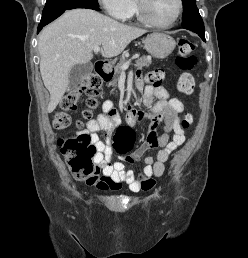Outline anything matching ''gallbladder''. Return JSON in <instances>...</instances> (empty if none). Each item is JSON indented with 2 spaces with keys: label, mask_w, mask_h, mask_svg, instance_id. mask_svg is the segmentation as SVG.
<instances>
[{
  "label": "gallbladder",
  "mask_w": 248,
  "mask_h": 258,
  "mask_svg": "<svg viewBox=\"0 0 248 258\" xmlns=\"http://www.w3.org/2000/svg\"><path fill=\"white\" fill-rule=\"evenodd\" d=\"M93 71L92 63L76 64L69 73V87L76 86L83 77L89 75Z\"/></svg>",
  "instance_id": "obj_1"
}]
</instances>
